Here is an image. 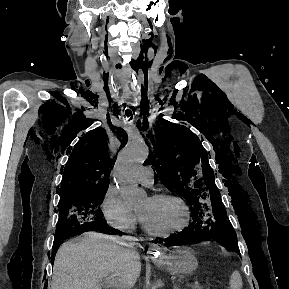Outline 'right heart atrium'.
Wrapping results in <instances>:
<instances>
[{
	"label": "right heart atrium",
	"mask_w": 289,
	"mask_h": 289,
	"mask_svg": "<svg viewBox=\"0 0 289 289\" xmlns=\"http://www.w3.org/2000/svg\"><path fill=\"white\" fill-rule=\"evenodd\" d=\"M101 211L106 223L121 232L130 233L138 224V215L127 207L121 196L112 188L106 192Z\"/></svg>",
	"instance_id": "d8ad5b80"
}]
</instances>
